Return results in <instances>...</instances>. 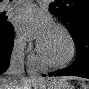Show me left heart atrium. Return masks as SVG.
<instances>
[{
	"instance_id": "1",
	"label": "left heart atrium",
	"mask_w": 89,
	"mask_h": 89,
	"mask_svg": "<svg viewBox=\"0 0 89 89\" xmlns=\"http://www.w3.org/2000/svg\"><path fill=\"white\" fill-rule=\"evenodd\" d=\"M15 25L24 38L35 39L39 44L54 27L51 17L35 5L20 9L15 17Z\"/></svg>"
}]
</instances>
